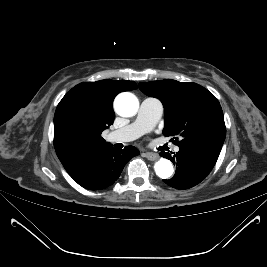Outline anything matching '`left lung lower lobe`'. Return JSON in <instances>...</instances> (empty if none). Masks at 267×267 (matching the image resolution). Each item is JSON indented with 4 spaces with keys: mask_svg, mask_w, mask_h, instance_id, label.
Instances as JSON below:
<instances>
[{
    "mask_svg": "<svg viewBox=\"0 0 267 267\" xmlns=\"http://www.w3.org/2000/svg\"><path fill=\"white\" fill-rule=\"evenodd\" d=\"M160 155L176 165L175 175L163 181L176 189H188L200 183L210 173L219 152L205 148H179L173 156L167 152H161Z\"/></svg>",
    "mask_w": 267,
    "mask_h": 267,
    "instance_id": "1",
    "label": "left lung lower lobe"
}]
</instances>
